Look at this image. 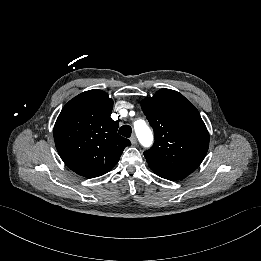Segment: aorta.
<instances>
[{"mask_svg": "<svg viewBox=\"0 0 261 261\" xmlns=\"http://www.w3.org/2000/svg\"><path fill=\"white\" fill-rule=\"evenodd\" d=\"M134 128L140 143L144 147H150L153 142V134L150 128L145 123V121L137 120L134 123Z\"/></svg>", "mask_w": 261, "mask_h": 261, "instance_id": "1", "label": "aorta"}]
</instances>
